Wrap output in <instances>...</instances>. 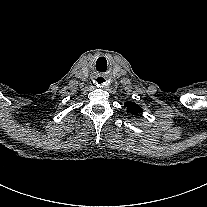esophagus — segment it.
Wrapping results in <instances>:
<instances>
[{
	"label": "esophagus",
	"mask_w": 207,
	"mask_h": 207,
	"mask_svg": "<svg viewBox=\"0 0 207 207\" xmlns=\"http://www.w3.org/2000/svg\"><path fill=\"white\" fill-rule=\"evenodd\" d=\"M95 84L97 86H104L106 84V77L104 75H97L95 77Z\"/></svg>",
	"instance_id": "esophagus-1"
}]
</instances>
